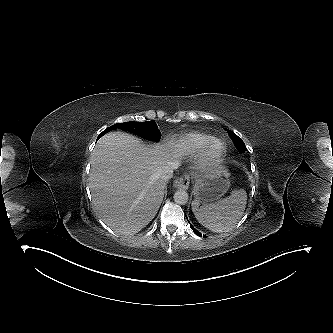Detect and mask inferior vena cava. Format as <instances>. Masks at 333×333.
Listing matches in <instances>:
<instances>
[{"label": "inferior vena cava", "instance_id": "1", "mask_svg": "<svg viewBox=\"0 0 333 333\" xmlns=\"http://www.w3.org/2000/svg\"><path fill=\"white\" fill-rule=\"evenodd\" d=\"M177 168V163L172 162L167 166H164L160 171V178L163 182H167L173 177V170Z\"/></svg>", "mask_w": 333, "mask_h": 333}]
</instances>
